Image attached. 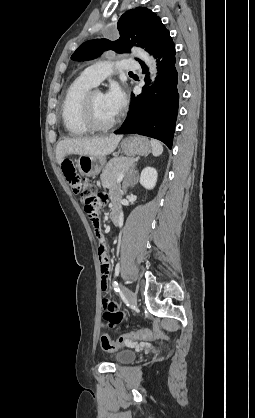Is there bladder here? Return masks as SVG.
<instances>
[{
    "label": "bladder",
    "mask_w": 255,
    "mask_h": 418,
    "mask_svg": "<svg viewBox=\"0 0 255 418\" xmlns=\"http://www.w3.org/2000/svg\"><path fill=\"white\" fill-rule=\"evenodd\" d=\"M136 358V353L130 349H122L116 351L112 355V360L117 364H127L132 362Z\"/></svg>",
    "instance_id": "1"
}]
</instances>
